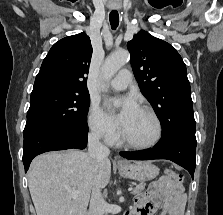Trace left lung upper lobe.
<instances>
[{"label":"left lung upper lobe","mask_w":223,"mask_h":215,"mask_svg":"<svg viewBox=\"0 0 223 215\" xmlns=\"http://www.w3.org/2000/svg\"><path fill=\"white\" fill-rule=\"evenodd\" d=\"M127 48L141 92L160 120L162 136L195 133L191 88L179 53L143 30L134 35Z\"/></svg>","instance_id":"1"}]
</instances>
